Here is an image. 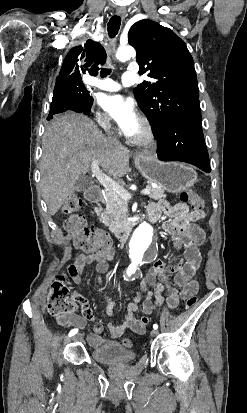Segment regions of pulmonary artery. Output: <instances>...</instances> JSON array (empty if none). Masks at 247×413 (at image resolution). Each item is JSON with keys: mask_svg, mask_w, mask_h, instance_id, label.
<instances>
[{"mask_svg": "<svg viewBox=\"0 0 247 413\" xmlns=\"http://www.w3.org/2000/svg\"><path fill=\"white\" fill-rule=\"evenodd\" d=\"M121 80L124 85L131 86L136 84L139 78L132 72L127 71L122 74ZM83 81L87 87L102 91H116L120 88V84L111 78H98L87 74Z\"/></svg>", "mask_w": 247, "mask_h": 413, "instance_id": "pulmonary-artery-1", "label": "pulmonary artery"}]
</instances>
